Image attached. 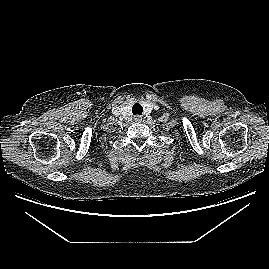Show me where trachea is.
<instances>
[{
	"instance_id": "trachea-1",
	"label": "trachea",
	"mask_w": 269,
	"mask_h": 269,
	"mask_svg": "<svg viewBox=\"0 0 269 269\" xmlns=\"http://www.w3.org/2000/svg\"><path fill=\"white\" fill-rule=\"evenodd\" d=\"M143 111V107L139 103H135L132 107V113L134 115H141Z\"/></svg>"
}]
</instances>
